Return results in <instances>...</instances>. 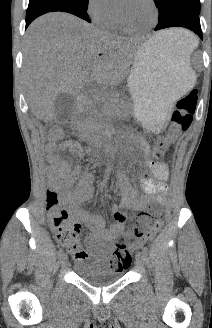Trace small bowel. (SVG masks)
I'll return each mask as SVG.
<instances>
[{
  "label": "small bowel",
  "instance_id": "small-bowel-1",
  "mask_svg": "<svg viewBox=\"0 0 212 328\" xmlns=\"http://www.w3.org/2000/svg\"><path fill=\"white\" fill-rule=\"evenodd\" d=\"M64 150H69L78 156L81 155V147L76 142L50 143L46 146V160L48 174L54 186L61 192L63 203L67 205L66 212L69 222L73 223L74 226L79 225L80 227L83 224L90 230V235L86 238L85 245L98 267L122 270L113 259L110 262L107 260V254L111 251L113 242L125 231L126 216L121 210L127 208L143 209L147 205L148 199L136 192L123 173H117L115 179L120 186L122 197L119 204L110 206L115 223L107 228L102 216L82 208L92 198V185L97 176L94 173L81 175L79 166H73L70 161L59 154V152ZM145 153L148 154L146 147ZM147 164L153 178L142 180L141 188L146 194L152 196L153 201L162 204L164 195L167 192V166L163 162L154 161L150 158H147ZM140 222L142 224L147 223L144 218H141ZM87 256V252L84 251V254L79 259H85Z\"/></svg>",
  "mask_w": 212,
  "mask_h": 328
}]
</instances>
